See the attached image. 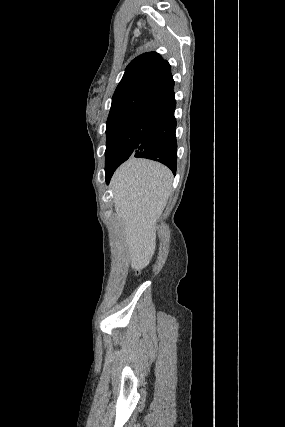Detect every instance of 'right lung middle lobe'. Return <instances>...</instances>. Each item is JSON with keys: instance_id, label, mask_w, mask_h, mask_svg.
Listing matches in <instances>:
<instances>
[{"instance_id": "1", "label": "right lung middle lobe", "mask_w": 285, "mask_h": 427, "mask_svg": "<svg viewBox=\"0 0 285 427\" xmlns=\"http://www.w3.org/2000/svg\"><path fill=\"white\" fill-rule=\"evenodd\" d=\"M146 112L134 113L107 123L105 171L115 170L141 143L139 139Z\"/></svg>"}]
</instances>
